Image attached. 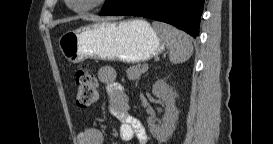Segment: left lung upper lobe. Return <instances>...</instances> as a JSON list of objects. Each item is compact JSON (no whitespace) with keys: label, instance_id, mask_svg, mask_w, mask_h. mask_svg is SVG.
<instances>
[{"label":"left lung upper lobe","instance_id":"5c2ea615","mask_svg":"<svg viewBox=\"0 0 273 144\" xmlns=\"http://www.w3.org/2000/svg\"><path fill=\"white\" fill-rule=\"evenodd\" d=\"M112 1H113V0H108V1L106 2V4L103 6V9H102V10H104Z\"/></svg>","mask_w":273,"mask_h":144}]
</instances>
